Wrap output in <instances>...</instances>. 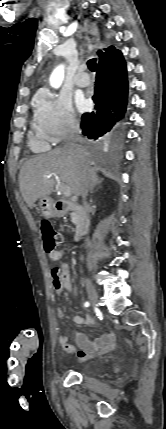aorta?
Listing matches in <instances>:
<instances>
[{
    "instance_id": "762f6f07",
    "label": "aorta",
    "mask_w": 166,
    "mask_h": 429,
    "mask_svg": "<svg viewBox=\"0 0 166 429\" xmlns=\"http://www.w3.org/2000/svg\"><path fill=\"white\" fill-rule=\"evenodd\" d=\"M64 77V68L63 66L58 67L50 77V84L54 88H58Z\"/></svg>"
}]
</instances>
